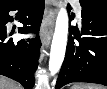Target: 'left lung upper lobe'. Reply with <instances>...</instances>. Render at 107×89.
Segmentation results:
<instances>
[{"mask_svg": "<svg viewBox=\"0 0 107 89\" xmlns=\"http://www.w3.org/2000/svg\"><path fill=\"white\" fill-rule=\"evenodd\" d=\"M83 8L107 12V0H80Z\"/></svg>", "mask_w": 107, "mask_h": 89, "instance_id": "5c2ea615", "label": "left lung upper lobe"}]
</instances>
